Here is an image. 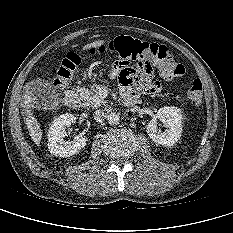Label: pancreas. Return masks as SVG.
Returning a JSON list of instances; mask_svg holds the SVG:
<instances>
[{
    "label": "pancreas",
    "mask_w": 233,
    "mask_h": 233,
    "mask_svg": "<svg viewBox=\"0 0 233 233\" xmlns=\"http://www.w3.org/2000/svg\"><path fill=\"white\" fill-rule=\"evenodd\" d=\"M79 97L83 100V106L85 107H99L102 104H105L107 101L99 97L96 90H88L85 88H79Z\"/></svg>",
    "instance_id": "cf45deb5"
}]
</instances>
